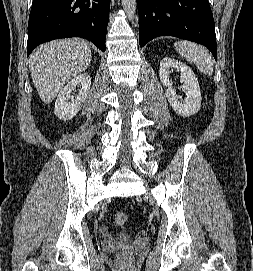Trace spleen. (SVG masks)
Returning <instances> with one entry per match:
<instances>
[{"mask_svg":"<svg viewBox=\"0 0 253 271\" xmlns=\"http://www.w3.org/2000/svg\"><path fill=\"white\" fill-rule=\"evenodd\" d=\"M174 46L182 57L188 62L194 63L202 73L212 75L213 59L204 47L190 41H178Z\"/></svg>","mask_w":253,"mask_h":271,"instance_id":"spleen-1","label":"spleen"}]
</instances>
